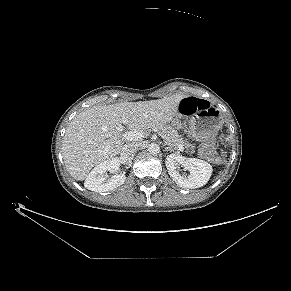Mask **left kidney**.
<instances>
[{
    "mask_svg": "<svg viewBox=\"0 0 291 291\" xmlns=\"http://www.w3.org/2000/svg\"><path fill=\"white\" fill-rule=\"evenodd\" d=\"M165 164L170 177L182 188H199L205 185L212 174V166L197 158H186L178 153L166 157ZM180 166L184 172L180 173Z\"/></svg>",
    "mask_w": 291,
    "mask_h": 291,
    "instance_id": "5707ae66",
    "label": "left kidney"
}]
</instances>
